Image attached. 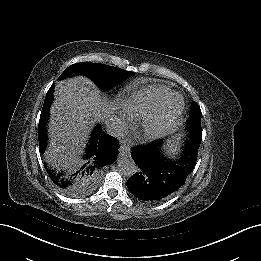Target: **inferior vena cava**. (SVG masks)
<instances>
[{
	"instance_id": "602c4592",
	"label": "inferior vena cava",
	"mask_w": 261,
	"mask_h": 261,
	"mask_svg": "<svg viewBox=\"0 0 261 261\" xmlns=\"http://www.w3.org/2000/svg\"><path fill=\"white\" fill-rule=\"evenodd\" d=\"M105 131L115 138H121L125 134V127L121 121L114 117H110L105 120Z\"/></svg>"
}]
</instances>
